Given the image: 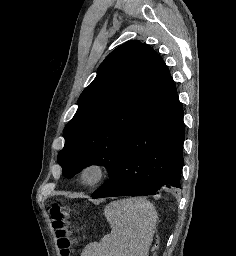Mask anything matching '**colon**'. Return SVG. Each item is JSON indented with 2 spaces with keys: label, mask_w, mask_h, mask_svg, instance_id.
I'll return each instance as SVG.
<instances>
[{
  "label": "colon",
  "mask_w": 236,
  "mask_h": 256,
  "mask_svg": "<svg viewBox=\"0 0 236 256\" xmlns=\"http://www.w3.org/2000/svg\"><path fill=\"white\" fill-rule=\"evenodd\" d=\"M71 211L61 202H54L48 208V216L57 239L60 256H70L73 239L67 232L66 224Z\"/></svg>",
  "instance_id": "1"
}]
</instances>
